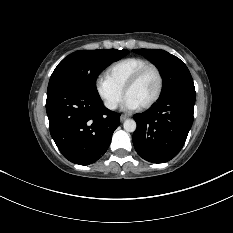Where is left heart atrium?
I'll list each match as a JSON object with an SVG mask.
<instances>
[{
	"label": "left heart atrium",
	"mask_w": 233,
	"mask_h": 233,
	"mask_svg": "<svg viewBox=\"0 0 233 233\" xmlns=\"http://www.w3.org/2000/svg\"><path fill=\"white\" fill-rule=\"evenodd\" d=\"M122 108L124 110H126V111H133V110H136V109L140 108V106L133 99L126 96L125 99H124Z\"/></svg>",
	"instance_id": "39dd6f15"
}]
</instances>
